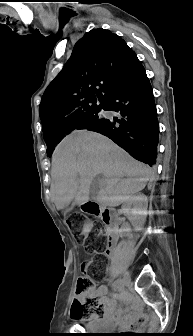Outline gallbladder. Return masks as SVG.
Listing matches in <instances>:
<instances>
[{
    "mask_svg": "<svg viewBox=\"0 0 193 336\" xmlns=\"http://www.w3.org/2000/svg\"><path fill=\"white\" fill-rule=\"evenodd\" d=\"M95 188H93V186H91V189H90V196L91 198H93L95 196Z\"/></svg>",
    "mask_w": 193,
    "mask_h": 336,
    "instance_id": "obj_1",
    "label": "gallbladder"
}]
</instances>
